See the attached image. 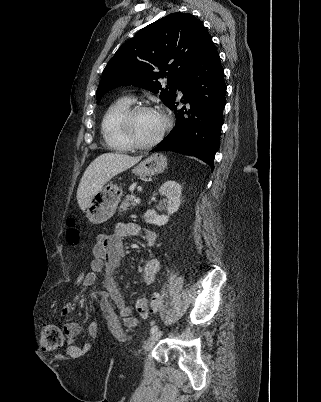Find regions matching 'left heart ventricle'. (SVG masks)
Masks as SVG:
<instances>
[{"instance_id": "b2bd125f", "label": "left heart ventricle", "mask_w": 321, "mask_h": 402, "mask_svg": "<svg viewBox=\"0 0 321 402\" xmlns=\"http://www.w3.org/2000/svg\"><path fill=\"white\" fill-rule=\"evenodd\" d=\"M164 125L161 114L154 111L138 113L132 122V130L135 138L141 143L153 140Z\"/></svg>"}]
</instances>
